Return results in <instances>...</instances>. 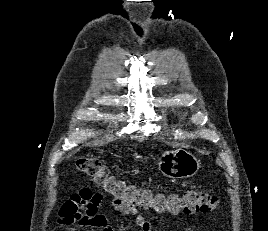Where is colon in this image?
Wrapping results in <instances>:
<instances>
[{"label":"colon","instance_id":"colon-1","mask_svg":"<svg viewBox=\"0 0 268 231\" xmlns=\"http://www.w3.org/2000/svg\"><path fill=\"white\" fill-rule=\"evenodd\" d=\"M76 166L122 211L137 207L170 214H197L215 211L219 206L217 197L202 192L189 190L181 194L159 193L126 184L111 175L106 165L95 157H81L77 160ZM80 195L86 197L88 192L81 191Z\"/></svg>","mask_w":268,"mask_h":231}]
</instances>
